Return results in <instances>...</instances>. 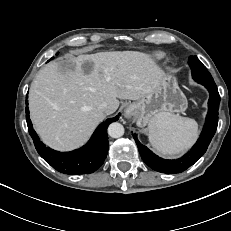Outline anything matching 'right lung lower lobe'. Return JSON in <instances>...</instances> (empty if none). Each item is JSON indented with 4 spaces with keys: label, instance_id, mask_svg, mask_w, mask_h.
I'll list each match as a JSON object with an SVG mask.
<instances>
[{
    "label": "right lung lower lobe",
    "instance_id": "98d812e1",
    "mask_svg": "<svg viewBox=\"0 0 231 231\" xmlns=\"http://www.w3.org/2000/svg\"><path fill=\"white\" fill-rule=\"evenodd\" d=\"M27 104L28 101L26 100V105ZM118 118L119 117L116 116L102 122L95 130L90 141L82 148L62 153L46 147L40 141L33 129L29 118V110L28 107H26L28 131L33 139L37 152L57 171L70 175L93 173L101 167L109 149L107 128L110 123L117 121Z\"/></svg>",
    "mask_w": 231,
    "mask_h": 231
}]
</instances>
